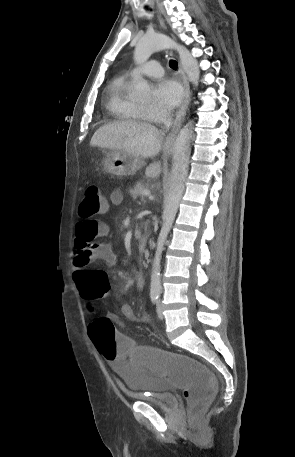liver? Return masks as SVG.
<instances>
[{"label": "liver", "instance_id": "1", "mask_svg": "<svg viewBox=\"0 0 295 457\" xmlns=\"http://www.w3.org/2000/svg\"><path fill=\"white\" fill-rule=\"evenodd\" d=\"M164 132L149 123L122 121L100 127L90 141L92 147L124 151L139 159L153 157L162 148ZM162 171L161 163L146 167L147 178H157Z\"/></svg>", "mask_w": 295, "mask_h": 457}]
</instances>
